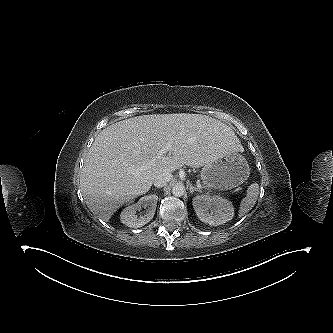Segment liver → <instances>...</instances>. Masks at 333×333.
<instances>
[{"label": "liver", "instance_id": "obj_1", "mask_svg": "<svg viewBox=\"0 0 333 333\" xmlns=\"http://www.w3.org/2000/svg\"><path fill=\"white\" fill-rule=\"evenodd\" d=\"M168 144L170 154L159 157ZM242 151L230 127L206 115L132 117L95 138L80 175L81 192L90 211L107 222L124 203L147 193L158 173L199 168Z\"/></svg>", "mask_w": 333, "mask_h": 333}]
</instances>
